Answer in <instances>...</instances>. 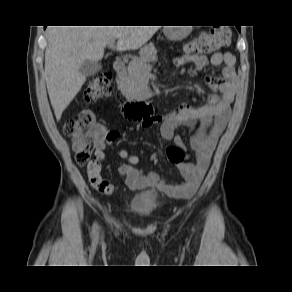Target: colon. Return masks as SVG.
Masks as SVG:
<instances>
[{
    "label": "colon",
    "mask_w": 292,
    "mask_h": 292,
    "mask_svg": "<svg viewBox=\"0 0 292 292\" xmlns=\"http://www.w3.org/2000/svg\"><path fill=\"white\" fill-rule=\"evenodd\" d=\"M231 31L225 26L213 27L203 32L194 40L188 49L201 55H207L229 45ZM112 94L111 79L106 73L96 74L89 82L83 94L85 103H92L110 97ZM100 126L96 123L93 113L82 110L76 118L65 122L63 131L73 142L75 160L79 165H86L90 185L100 193L111 194L115 190L114 184L101 175V155L95 151V137ZM164 156L170 163L179 165L186 160L185 151L177 146H168ZM151 161L157 163L162 156L159 153L151 155Z\"/></svg>",
    "instance_id": "1"
}]
</instances>
